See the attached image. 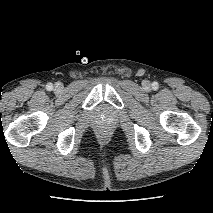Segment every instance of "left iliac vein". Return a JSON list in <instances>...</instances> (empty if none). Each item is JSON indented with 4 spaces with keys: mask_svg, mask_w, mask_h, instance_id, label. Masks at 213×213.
I'll use <instances>...</instances> for the list:
<instances>
[{
    "mask_svg": "<svg viewBox=\"0 0 213 213\" xmlns=\"http://www.w3.org/2000/svg\"><path fill=\"white\" fill-rule=\"evenodd\" d=\"M143 86H144L145 89H149L150 88V83L148 81H145L143 83Z\"/></svg>",
    "mask_w": 213,
    "mask_h": 213,
    "instance_id": "left-iliac-vein-1",
    "label": "left iliac vein"
}]
</instances>
